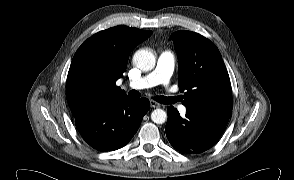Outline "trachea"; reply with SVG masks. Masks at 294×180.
Returning a JSON list of instances; mask_svg holds the SVG:
<instances>
[{"label": "trachea", "mask_w": 294, "mask_h": 180, "mask_svg": "<svg viewBox=\"0 0 294 180\" xmlns=\"http://www.w3.org/2000/svg\"><path fill=\"white\" fill-rule=\"evenodd\" d=\"M140 96H141V94L136 90H131L129 92V97H131V98H138ZM154 100H156L157 102L162 103V104H173L177 101V98L166 97V96H155Z\"/></svg>", "instance_id": "trachea-1"}]
</instances>
